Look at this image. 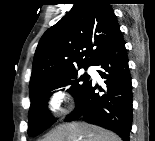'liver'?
Segmentation results:
<instances>
[{
    "label": "liver",
    "instance_id": "6515ba94",
    "mask_svg": "<svg viewBox=\"0 0 155 141\" xmlns=\"http://www.w3.org/2000/svg\"><path fill=\"white\" fill-rule=\"evenodd\" d=\"M121 141L111 131L85 122H72L57 126L43 141Z\"/></svg>",
    "mask_w": 155,
    "mask_h": 141
}]
</instances>
